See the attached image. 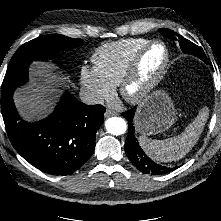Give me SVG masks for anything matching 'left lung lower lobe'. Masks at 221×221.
I'll list each match as a JSON object with an SVG mask.
<instances>
[{
  "label": "left lung lower lobe",
  "instance_id": "obj_1",
  "mask_svg": "<svg viewBox=\"0 0 221 221\" xmlns=\"http://www.w3.org/2000/svg\"><path fill=\"white\" fill-rule=\"evenodd\" d=\"M135 111L136 107L122 113L123 117H125L128 121L129 127L124 149L127 157L132 162V164L142 173L151 175H162L178 168H170L158 165L146 156L135 137V129L133 124Z\"/></svg>",
  "mask_w": 221,
  "mask_h": 221
}]
</instances>
